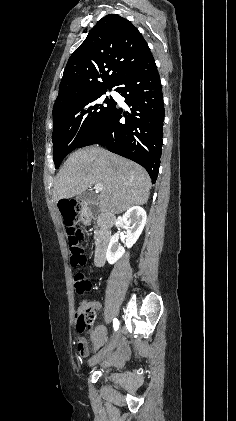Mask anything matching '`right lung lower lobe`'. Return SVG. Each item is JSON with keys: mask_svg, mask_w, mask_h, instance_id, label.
<instances>
[{"mask_svg": "<svg viewBox=\"0 0 236 421\" xmlns=\"http://www.w3.org/2000/svg\"><path fill=\"white\" fill-rule=\"evenodd\" d=\"M114 87L130 111L123 112L115 105L102 125L78 148L103 145L143 166L155 182L162 153L164 103L153 56L130 68Z\"/></svg>", "mask_w": 236, "mask_h": 421, "instance_id": "98d812e1", "label": "right lung lower lobe"}]
</instances>
